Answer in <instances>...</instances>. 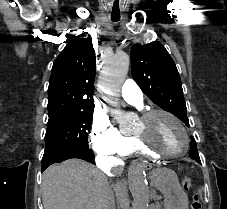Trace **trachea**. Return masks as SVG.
Instances as JSON below:
<instances>
[{
    "label": "trachea",
    "mask_w": 227,
    "mask_h": 209,
    "mask_svg": "<svg viewBox=\"0 0 227 209\" xmlns=\"http://www.w3.org/2000/svg\"><path fill=\"white\" fill-rule=\"evenodd\" d=\"M111 20L113 22H118L120 20V13H112L111 14Z\"/></svg>",
    "instance_id": "trachea-1"
}]
</instances>
